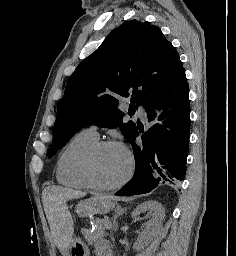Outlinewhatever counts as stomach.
Returning a JSON list of instances; mask_svg holds the SVG:
<instances>
[{"label": "stomach", "mask_w": 236, "mask_h": 256, "mask_svg": "<svg viewBox=\"0 0 236 256\" xmlns=\"http://www.w3.org/2000/svg\"><path fill=\"white\" fill-rule=\"evenodd\" d=\"M113 207V203L107 197L95 196L80 201L76 205V212L80 217H91L95 214L108 213ZM68 256H89L88 246L80 238H75Z\"/></svg>", "instance_id": "0dacf381"}]
</instances>
